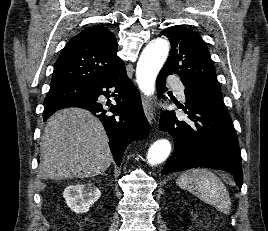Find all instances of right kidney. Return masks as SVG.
Listing matches in <instances>:
<instances>
[{
  "instance_id": "right-kidney-1",
  "label": "right kidney",
  "mask_w": 268,
  "mask_h": 231,
  "mask_svg": "<svg viewBox=\"0 0 268 231\" xmlns=\"http://www.w3.org/2000/svg\"><path fill=\"white\" fill-rule=\"evenodd\" d=\"M100 196V190L92 183L69 185L63 192L68 207L77 214L86 213Z\"/></svg>"
}]
</instances>
